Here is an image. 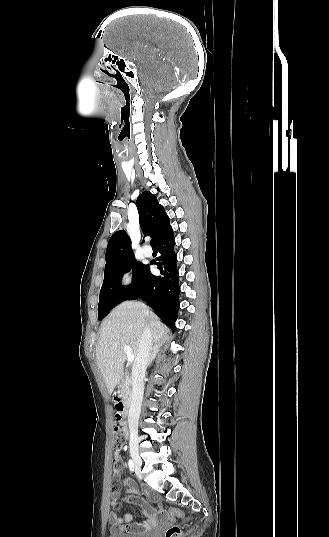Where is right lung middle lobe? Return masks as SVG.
<instances>
[{
  "label": "right lung middle lobe",
  "instance_id": "obj_1",
  "mask_svg": "<svg viewBox=\"0 0 329 537\" xmlns=\"http://www.w3.org/2000/svg\"><path fill=\"white\" fill-rule=\"evenodd\" d=\"M145 265L130 258L120 263L105 266L104 281L100 290L98 304V318L103 319L108 311L119 302L127 299L137 288ZM133 269V282L130 286L120 285V278L126 271Z\"/></svg>",
  "mask_w": 329,
  "mask_h": 537
}]
</instances>
